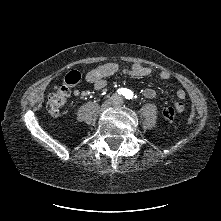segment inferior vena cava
<instances>
[{
  "label": "inferior vena cava",
  "instance_id": "1",
  "mask_svg": "<svg viewBox=\"0 0 221 221\" xmlns=\"http://www.w3.org/2000/svg\"><path fill=\"white\" fill-rule=\"evenodd\" d=\"M113 99H119V96L118 95H114Z\"/></svg>",
  "mask_w": 221,
  "mask_h": 221
}]
</instances>
